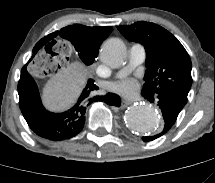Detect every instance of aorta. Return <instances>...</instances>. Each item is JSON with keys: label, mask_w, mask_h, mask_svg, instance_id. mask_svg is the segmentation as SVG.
Returning <instances> with one entry per match:
<instances>
[{"label": "aorta", "mask_w": 215, "mask_h": 183, "mask_svg": "<svg viewBox=\"0 0 215 183\" xmlns=\"http://www.w3.org/2000/svg\"><path fill=\"white\" fill-rule=\"evenodd\" d=\"M100 54L106 65L118 68L125 62L127 50L122 40L111 38L103 43ZM125 123L132 131L153 134L159 130L161 119L158 112L152 106L137 104L127 110Z\"/></svg>", "instance_id": "aorta-1"}]
</instances>
